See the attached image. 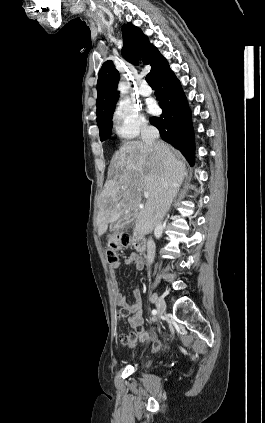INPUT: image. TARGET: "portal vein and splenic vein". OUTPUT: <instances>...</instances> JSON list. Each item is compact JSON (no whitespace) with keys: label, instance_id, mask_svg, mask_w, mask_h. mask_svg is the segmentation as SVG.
I'll return each mask as SVG.
<instances>
[{"label":"portal vein and splenic vein","instance_id":"18ae733b","mask_svg":"<svg viewBox=\"0 0 265 423\" xmlns=\"http://www.w3.org/2000/svg\"><path fill=\"white\" fill-rule=\"evenodd\" d=\"M144 197L148 198L149 197V193L148 192H144Z\"/></svg>","mask_w":265,"mask_h":423}]
</instances>
